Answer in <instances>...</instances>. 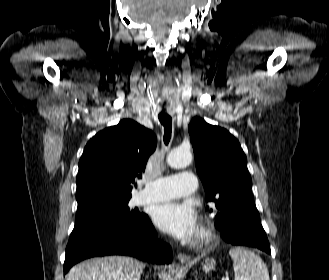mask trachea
I'll list each match as a JSON object with an SVG mask.
<instances>
[{"label":"trachea","instance_id":"trachea-1","mask_svg":"<svg viewBox=\"0 0 329 280\" xmlns=\"http://www.w3.org/2000/svg\"><path fill=\"white\" fill-rule=\"evenodd\" d=\"M160 123L164 127V143L168 145L172 133V118L168 114L161 113L158 115Z\"/></svg>","mask_w":329,"mask_h":280}]
</instances>
